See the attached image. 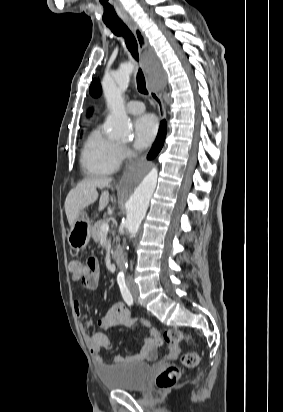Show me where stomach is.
<instances>
[{
    "label": "stomach",
    "mask_w": 283,
    "mask_h": 412,
    "mask_svg": "<svg viewBox=\"0 0 283 412\" xmlns=\"http://www.w3.org/2000/svg\"><path fill=\"white\" fill-rule=\"evenodd\" d=\"M92 226L86 212H80L68 234V243L74 250L85 248L91 237Z\"/></svg>",
    "instance_id": "stomach-1"
}]
</instances>
